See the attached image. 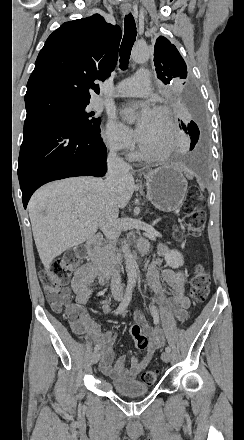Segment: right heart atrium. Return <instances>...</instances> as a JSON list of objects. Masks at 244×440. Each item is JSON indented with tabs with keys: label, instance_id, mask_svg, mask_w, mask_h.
Wrapping results in <instances>:
<instances>
[{
	"label": "right heart atrium",
	"instance_id": "d8ad5b80",
	"mask_svg": "<svg viewBox=\"0 0 244 440\" xmlns=\"http://www.w3.org/2000/svg\"><path fill=\"white\" fill-rule=\"evenodd\" d=\"M103 137L106 145L114 151L130 149L140 138L135 130L117 121L112 114L108 115Z\"/></svg>",
	"mask_w": 244,
	"mask_h": 440
}]
</instances>
